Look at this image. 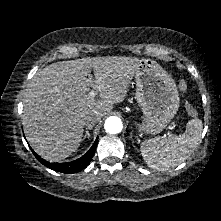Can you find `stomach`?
I'll use <instances>...</instances> for the list:
<instances>
[{"instance_id":"0dacf381","label":"stomach","mask_w":221,"mask_h":221,"mask_svg":"<svg viewBox=\"0 0 221 221\" xmlns=\"http://www.w3.org/2000/svg\"><path fill=\"white\" fill-rule=\"evenodd\" d=\"M136 99L143 121L136 124L141 135L160 133L179 108V93L173 78L155 61L141 59L135 70Z\"/></svg>"}]
</instances>
